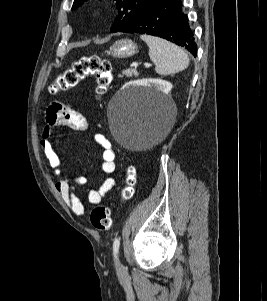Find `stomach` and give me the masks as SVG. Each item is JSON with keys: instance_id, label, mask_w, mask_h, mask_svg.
<instances>
[{"instance_id": "0dacf381", "label": "stomach", "mask_w": 267, "mask_h": 301, "mask_svg": "<svg viewBox=\"0 0 267 301\" xmlns=\"http://www.w3.org/2000/svg\"><path fill=\"white\" fill-rule=\"evenodd\" d=\"M107 53L115 58H128L137 53V45L130 39H121L116 41Z\"/></svg>"}]
</instances>
